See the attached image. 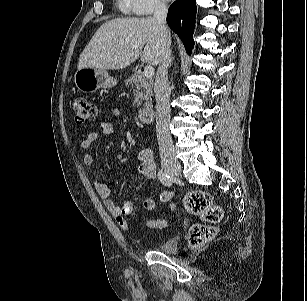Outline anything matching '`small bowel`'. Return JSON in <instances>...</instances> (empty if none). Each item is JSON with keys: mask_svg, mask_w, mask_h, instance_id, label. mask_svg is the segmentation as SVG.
<instances>
[{"mask_svg": "<svg viewBox=\"0 0 307 301\" xmlns=\"http://www.w3.org/2000/svg\"><path fill=\"white\" fill-rule=\"evenodd\" d=\"M115 114L121 115L120 111H115ZM112 133L113 124L109 121L100 122L97 131L88 132L85 138L81 141V148L85 151L83 161L92 180V183L103 199L107 210L114 216L117 224L123 231H130L131 226L127 216L134 213L135 207L133 202L126 201L123 205L117 204L110 196L111 187L105 183L94 170V158L91 153V149L99 136H109ZM137 159L139 161V172L141 174L151 179H155L158 176L150 149H142L138 153ZM173 197L174 193L170 189H164L160 194V199L165 202L172 200ZM143 206L148 212L151 213H157L160 211L156 207L154 199L150 197L143 201Z\"/></svg>", "mask_w": 307, "mask_h": 301, "instance_id": "small-bowel-1", "label": "small bowel"}]
</instances>
